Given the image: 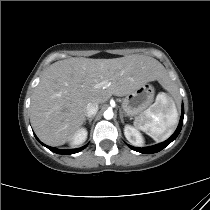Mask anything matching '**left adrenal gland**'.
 Returning <instances> with one entry per match:
<instances>
[{"instance_id": "1", "label": "left adrenal gland", "mask_w": 210, "mask_h": 210, "mask_svg": "<svg viewBox=\"0 0 210 210\" xmlns=\"http://www.w3.org/2000/svg\"><path fill=\"white\" fill-rule=\"evenodd\" d=\"M120 119H121V122L124 123L123 113L121 112V110H120Z\"/></svg>"}]
</instances>
